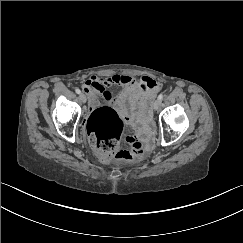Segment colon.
Masks as SVG:
<instances>
[{
    "instance_id": "1",
    "label": "colon",
    "mask_w": 243,
    "mask_h": 243,
    "mask_svg": "<svg viewBox=\"0 0 243 243\" xmlns=\"http://www.w3.org/2000/svg\"><path fill=\"white\" fill-rule=\"evenodd\" d=\"M145 109L146 106L143 107V111ZM124 128L123 119L111 107L95 109L87 120V131L91 142L102 158H115L120 161L138 160L147 149L148 142L137 137H127L128 146L121 148Z\"/></svg>"
}]
</instances>
